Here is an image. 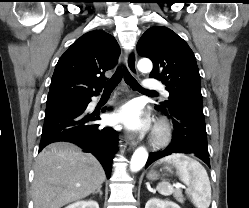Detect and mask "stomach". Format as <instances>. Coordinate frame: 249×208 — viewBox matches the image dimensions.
Returning a JSON list of instances; mask_svg holds the SVG:
<instances>
[{
  "label": "stomach",
  "instance_id": "1",
  "mask_svg": "<svg viewBox=\"0 0 249 208\" xmlns=\"http://www.w3.org/2000/svg\"><path fill=\"white\" fill-rule=\"evenodd\" d=\"M147 178L150 180H156L158 178V174L155 171H151L148 173Z\"/></svg>",
  "mask_w": 249,
  "mask_h": 208
}]
</instances>
